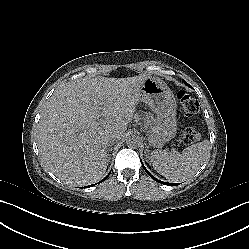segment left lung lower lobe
Here are the masks:
<instances>
[{
	"instance_id": "left-lung-lower-lobe-1",
	"label": "left lung lower lobe",
	"mask_w": 249,
	"mask_h": 249,
	"mask_svg": "<svg viewBox=\"0 0 249 249\" xmlns=\"http://www.w3.org/2000/svg\"><path fill=\"white\" fill-rule=\"evenodd\" d=\"M142 163V162H141ZM143 165V164H142ZM143 168H144V170L150 175V177L151 178H153L155 181H157V182H159V183H162V184H168L169 185V183H166V182H161V181H159L158 179H156L155 177H153L149 172H148V170L144 167V165H143Z\"/></svg>"
}]
</instances>
